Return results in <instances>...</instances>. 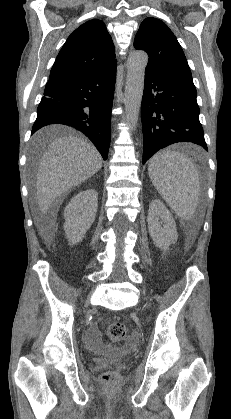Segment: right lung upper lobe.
Returning a JSON list of instances; mask_svg holds the SVG:
<instances>
[{"label":"right lung upper lobe","instance_id":"cb5924a9","mask_svg":"<svg viewBox=\"0 0 231 419\" xmlns=\"http://www.w3.org/2000/svg\"><path fill=\"white\" fill-rule=\"evenodd\" d=\"M116 65L115 49L103 21L92 19L68 37L50 72V78L89 75Z\"/></svg>","mask_w":231,"mask_h":419}]
</instances>
